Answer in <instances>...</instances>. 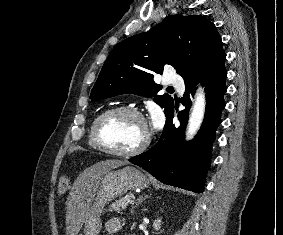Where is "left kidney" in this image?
Here are the masks:
<instances>
[{
    "label": "left kidney",
    "mask_w": 283,
    "mask_h": 235,
    "mask_svg": "<svg viewBox=\"0 0 283 235\" xmlns=\"http://www.w3.org/2000/svg\"><path fill=\"white\" fill-rule=\"evenodd\" d=\"M153 227L156 231H158L161 228V219L157 218L153 223Z\"/></svg>",
    "instance_id": "5707ae66"
}]
</instances>
